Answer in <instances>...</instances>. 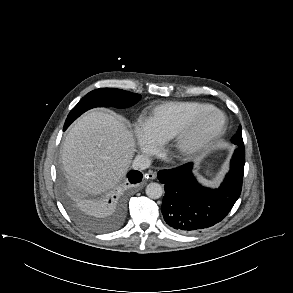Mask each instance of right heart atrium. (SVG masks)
Here are the masks:
<instances>
[{"mask_svg": "<svg viewBox=\"0 0 293 293\" xmlns=\"http://www.w3.org/2000/svg\"><path fill=\"white\" fill-rule=\"evenodd\" d=\"M132 140L144 154L154 155L158 152L161 141L149 130L143 120H137L131 129Z\"/></svg>", "mask_w": 293, "mask_h": 293, "instance_id": "obj_1", "label": "right heart atrium"}]
</instances>
